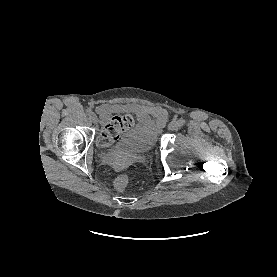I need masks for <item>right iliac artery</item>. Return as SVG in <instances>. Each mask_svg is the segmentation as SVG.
I'll use <instances>...</instances> for the list:
<instances>
[{
    "mask_svg": "<svg viewBox=\"0 0 277 277\" xmlns=\"http://www.w3.org/2000/svg\"><path fill=\"white\" fill-rule=\"evenodd\" d=\"M92 113H93V112H92L91 109H87V110H86V114H87L88 116H90Z\"/></svg>",
    "mask_w": 277,
    "mask_h": 277,
    "instance_id": "1",
    "label": "right iliac artery"
}]
</instances>
